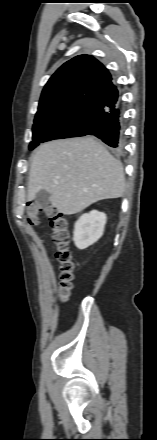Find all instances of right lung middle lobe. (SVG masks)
<instances>
[{
  "instance_id": "right-lung-middle-lobe-1",
  "label": "right lung middle lobe",
  "mask_w": 157,
  "mask_h": 440,
  "mask_svg": "<svg viewBox=\"0 0 157 440\" xmlns=\"http://www.w3.org/2000/svg\"><path fill=\"white\" fill-rule=\"evenodd\" d=\"M90 135L89 128L83 121L77 120H56L39 121L33 125V141L29 148H35L39 143L53 139H63L69 137H79Z\"/></svg>"
}]
</instances>
